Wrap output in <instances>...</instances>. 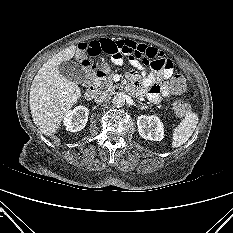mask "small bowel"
Segmentation results:
<instances>
[{
  "label": "small bowel",
  "mask_w": 233,
  "mask_h": 233,
  "mask_svg": "<svg viewBox=\"0 0 233 233\" xmlns=\"http://www.w3.org/2000/svg\"><path fill=\"white\" fill-rule=\"evenodd\" d=\"M78 50L84 63H88L87 58L102 53L109 54L116 65H121L126 58L131 65L142 71V77L135 71L128 74L130 90L138 95H146L155 104L172 93L168 79L173 74V65L162 51L154 47L132 40L101 38L80 43Z\"/></svg>",
  "instance_id": "1"
}]
</instances>
